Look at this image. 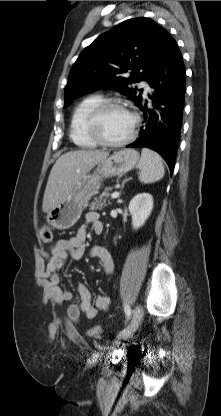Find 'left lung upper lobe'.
Returning a JSON list of instances; mask_svg holds the SVG:
<instances>
[{"instance_id":"obj_1","label":"left lung upper lobe","mask_w":221,"mask_h":416,"mask_svg":"<svg viewBox=\"0 0 221 416\" xmlns=\"http://www.w3.org/2000/svg\"><path fill=\"white\" fill-rule=\"evenodd\" d=\"M166 34L153 20L140 17L98 36L72 66L64 108L76 97L97 89L116 90L139 107L143 98L132 85L147 81ZM127 72H131L130 77L124 75Z\"/></svg>"}]
</instances>
